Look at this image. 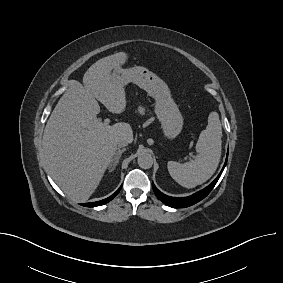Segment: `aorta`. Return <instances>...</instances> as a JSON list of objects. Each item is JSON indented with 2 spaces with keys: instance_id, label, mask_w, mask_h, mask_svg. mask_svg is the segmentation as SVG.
Listing matches in <instances>:
<instances>
[{
  "instance_id": "obj_1",
  "label": "aorta",
  "mask_w": 283,
  "mask_h": 283,
  "mask_svg": "<svg viewBox=\"0 0 283 283\" xmlns=\"http://www.w3.org/2000/svg\"><path fill=\"white\" fill-rule=\"evenodd\" d=\"M138 165L141 168L147 169L153 165V158L149 153H141L137 159Z\"/></svg>"
}]
</instances>
